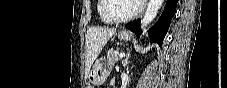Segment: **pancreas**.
I'll list each match as a JSON object with an SVG mask.
<instances>
[{
    "instance_id": "cf45deb5",
    "label": "pancreas",
    "mask_w": 227,
    "mask_h": 88,
    "mask_svg": "<svg viewBox=\"0 0 227 88\" xmlns=\"http://www.w3.org/2000/svg\"><path fill=\"white\" fill-rule=\"evenodd\" d=\"M121 58L119 57L118 49H110L107 53V60L110 64H115Z\"/></svg>"
}]
</instances>
